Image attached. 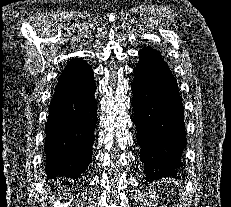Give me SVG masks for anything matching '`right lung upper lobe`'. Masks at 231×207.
I'll use <instances>...</instances> for the list:
<instances>
[{"instance_id": "cb5924a9", "label": "right lung upper lobe", "mask_w": 231, "mask_h": 207, "mask_svg": "<svg viewBox=\"0 0 231 207\" xmlns=\"http://www.w3.org/2000/svg\"><path fill=\"white\" fill-rule=\"evenodd\" d=\"M81 61H83L82 59H78V58H76V59H73V60H71L69 63H68V66L69 65H74L75 63H78V62H81Z\"/></svg>"}]
</instances>
